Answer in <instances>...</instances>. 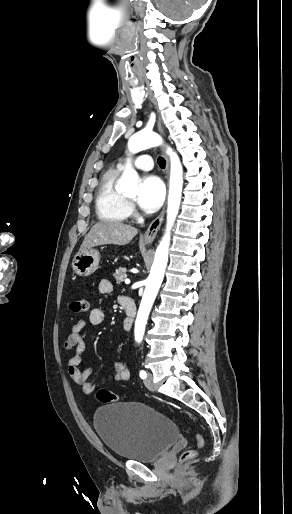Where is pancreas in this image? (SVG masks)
<instances>
[{
	"label": "pancreas",
	"mask_w": 292,
	"mask_h": 514,
	"mask_svg": "<svg viewBox=\"0 0 292 514\" xmlns=\"http://www.w3.org/2000/svg\"><path fill=\"white\" fill-rule=\"evenodd\" d=\"M113 276H115L116 284H120V282H124V280H126V278H127L126 268H119V270H116V272H115V274H113Z\"/></svg>",
	"instance_id": "1"
}]
</instances>
